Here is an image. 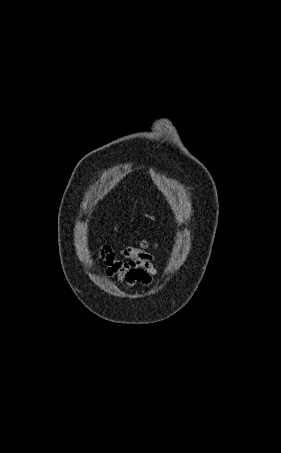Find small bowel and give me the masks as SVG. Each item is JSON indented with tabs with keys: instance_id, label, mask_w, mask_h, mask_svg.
Listing matches in <instances>:
<instances>
[{
	"instance_id": "c3829d8e",
	"label": "small bowel",
	"mask_w": 281,
	"mask_h": 453,
	"mask_svg": "<svg viewBox=\"0 0 281 453\" xmlns=\"http://www.w3.org/2000/svg\"><path fill=\"white\" fill-rule=\"evenodd\" d=\"M104 275L124 283L127 287L136 284H150L158 274L154 257L140 250L119 248L106 254Z\"/></svg>"
}]
</instances>
